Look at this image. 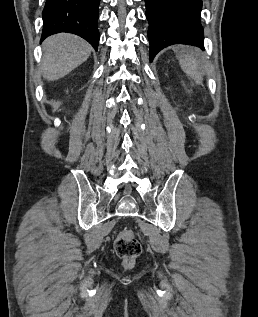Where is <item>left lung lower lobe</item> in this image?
Masks as SVG:
<instances>
[{
    "instance_id": "left-lung-lower-lobe-1",
    "label": "left lung lower lobe",
    "mask_w": 258,
    "mask_h": 317,
    "mask_svg": "<svg viewBox=\"0 0 258 317\" xmlns=\"http://www.w3.org/2000/svg\"><path fill=\"white\" fill-rule=\"evenodd\" d=\"M150 61L163 48L187 44L204 49L202 0H145Z\"/></svg>"
}]
</instances>
